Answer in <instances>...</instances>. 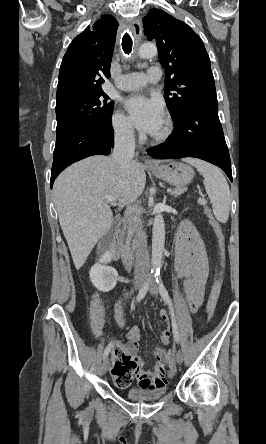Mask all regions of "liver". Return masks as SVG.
<instances>
[{"instance_id":"1","label":"liver","mask_w":266,"mask_h":444,"mask_svg":"<svg viewBox=\"0 0 266 444\" xmlns=\"http://www.w3.org/2000/svg\"><path fill=\"white\" fill-rule=\"evenodd\" d=\"M146 174L132 161L122 170L113 157L91 156L65 169L53 186L59 223L76 269L111 228L113 212L104 196L116 197L119 207L135 201L143 192Z\"/></svg>"}]
</instances>
